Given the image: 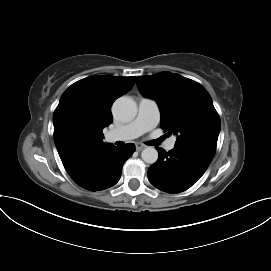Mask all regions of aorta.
<instances>
[{
  "instance_id": "aorta-1",
  "label": "aorta",
  "mask_w": 271,
  "mask_h": 271,
  "mask_svg": "<svg viewBox=\"0 0 271 271\" xmlns=\"http://www.w3.org/2000/svg\"><path fill=\"white\" fill-rule=\"evenodd\" d=\"M113 112L121 121H131L137 114V105L129 97H120L114 102ZM141 158L144 162L153 164L158 159V152L154 147H146L141 153Z\"/></svg>"
}]
</instances>
